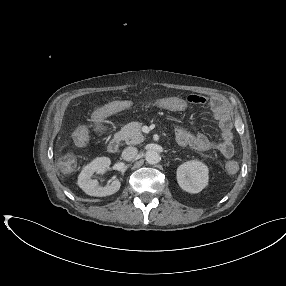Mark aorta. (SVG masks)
Instances as JSON below:
<instances>
[{
	"label": "aorta",
	"mask_w": 286,
	"mask_h": 286,
	"mask_svg": "<svg viewBox=\"0 0 286 286\" xmlns=\"http://www.w3.org/2000/svg\"><path fill=\"white\" fill-rule=\"evenodd\" d=\"M145 159L149 164H157L161 157L159 153L155 150H148L145 154Z\"/></svg>",
	"instance_id": "obj_1"
}]
</instances>
